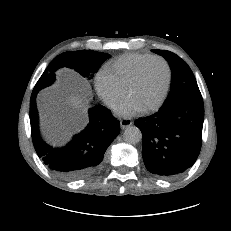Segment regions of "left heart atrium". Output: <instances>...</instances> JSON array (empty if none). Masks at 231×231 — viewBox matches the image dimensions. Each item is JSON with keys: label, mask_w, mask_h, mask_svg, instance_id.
Wrapping results in <instances>:
<instances>
[{"label": "left heart atrium", "mask_w": 231, "mask_h": 231, "mask_svg": "<svg viewBox=\"0 0 231 231\" xmlns=\"http://www.w3.org/2000/svg\"><path fill=\"white\" fill-rule=\"evenodd\" d=\"M143 110L144 108L130 97H127L115 108L116 114L124 117L134 116L141 113Z\"/></svg>", "instance_id": "left-heart-atrium-1"}]
</instances>
